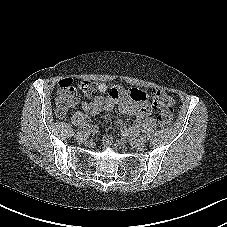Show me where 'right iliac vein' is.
Segmentation results:
<instances>
[{
	"label": "right iliac vein",
	"mask_w": 227,
	"mask_h": 227,
	"mask_svg": "<svg viewBox=\"0 0 227 227\" xmlns=\"http://www.w3.org/2000/svg\"><path fill=\"white\" fill-rule=\"evenodd\" d=\"M88 136V132H84V131H79L76 134V138L79 140H82L84 138H86Z\"/></svg>",
	"instance_id": "right-iliac-vein-1"
}]
</instances>
